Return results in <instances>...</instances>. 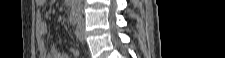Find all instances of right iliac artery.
<instances>
[{"instance_id":"obj_1","label":"right iliac artery","mask_w":225,"mask_h":58,"mask_svg":"<svg viewBox=\"0 0 225 58\" xmlns=\"http://www.w3.org/2000/svg\"><path fill=\"white\" fill-rule=\"evenodd\" d=\"M77 22H78V17L75 14H73V17L71 18L72 25L76 26Z\"/></svg>"}]
</instances>
